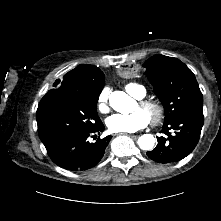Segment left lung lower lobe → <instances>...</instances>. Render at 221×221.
Masks as SVG:
<instances>
[{"label": "left lung lower lobe", "mask_w": 221, "mask_h": 221, "mask_svg": "<svg viewBox=\"0 0 221 221\" xmlns=\"http://www.w3.org/2000/svg\"><path fill=\"white\" fill-rule=\"evenodd\" d=\"M203 123V110L200 108L179 115L170 122L164 123L162 133L165 134V137H157L158 144L156 148L147 152V156L158 163H171L182 160L196 147ZM171 145L175 147L176 151L172 156L164 157L162 154L163 148Z\"/></svg>", "instance_id": "0a47b994"}]
</instances>
